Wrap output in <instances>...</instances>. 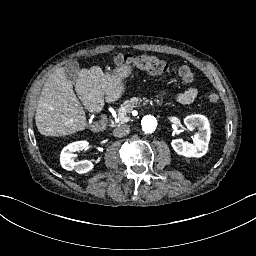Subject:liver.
<instances>
[{
    "instance_id": "1",
    "label": "liver",
    "mask_w": 256,
    "mask_h": 256,
    "mask_svg": "<svg viewBox=\"0 0 256 256\" xmlns=\"http://www.w3.org/2000/svg\"><path fill=\"white\" fill-rule=\"evenodd\" d=\"M122 73L123 69H117L113 75L104 74L99 66L80 71L74 86L89 112L99 113L105 101L112 103L121 97L124 92ZM35 122L40 134L45 136H64L86 128L85 111L73 91V82L66 78L63 67L57 68L44 83Z\"/></svg>"
}]
</instances>
